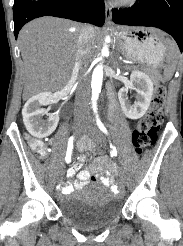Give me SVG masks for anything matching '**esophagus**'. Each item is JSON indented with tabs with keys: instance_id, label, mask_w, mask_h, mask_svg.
I'll return each instance as SVG.
<instances>
[{
	"instance_id": "obj_1",
	"label": "esophagus",
	"mask_w": 183,
	"mask_h": 246,
	"mask_svg": "<svg viewBox=\"0 0 183 246\" xmlns=\"http://www.w3.org/2000/svg\"><path fill=\"white\" fill-rule=\"evenodd\" d=\"M112 6L109 1L105 0V15L106 21L109 22L111 19Z\"/></svg>"
}]
</instances>
